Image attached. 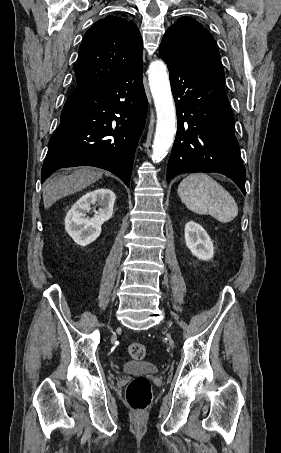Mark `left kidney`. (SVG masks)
Listing matches in <instances>:
<instances>
[{
	"mask_svg": "<svg viewBox=\"0 0 281 453\" xmlns=\"http://www.w3.org/2000/svg\"><path fill=\"white\" fill-rule=\"evenodd\" d=\"M185 241L192 255L201 259V261H209L214 255L213 243L201 224L195 220H189L185 224Z\"/></svg>",
	"mask_w": 281,
	"mask_h": 453,
	"instance_id": "left-kidney-1",
	"label": "left kidney"
}]
</instances>
